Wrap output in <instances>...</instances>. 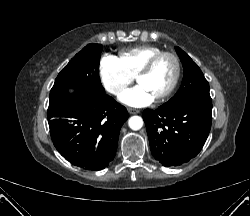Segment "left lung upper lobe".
I'll use <instances>...</instances> for the list:
<instances>
[{
    "instance_id": "1",
    "label": "left lung upper lobe",
    "mask_w": 250,
    "mask_h": 216,
    "mask_svg": "<svg viewBox=\"0 0 250 216\" xmlns=\"http://www.w3.org/2000/svg\"><path fill=\"white\" fill-rule=\"evenodd\" d=\"M183 64L184 76L180 89L164 105L173 106L192 100H202L212 103L209 84L198 65L179 47H175Z\"/></svg>"
}]
</instances>
